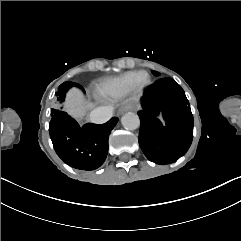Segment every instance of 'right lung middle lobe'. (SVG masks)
Wrapping results in <instances>:
<instances>
[{
    "instance_id": "right-lung-middle-lobe-1",
    "label": "right lung middle lobe",
    "mask_w": 241,
    "mask_h": 241,
    "mask_svg": "<svg viewBox=\"0 0 241 241\" xmlns=\"http://www.w3.org/2000/svg\"><path fill=\"white\" fill-rule=\"evenodd\" d=\"M74 84L71 81H67L62 83L58 90L55 93L53 108L51 109V113L55 114L63 109V102L65 100L66 92L73 86Z\"/></svg>"
}]
</instances>
